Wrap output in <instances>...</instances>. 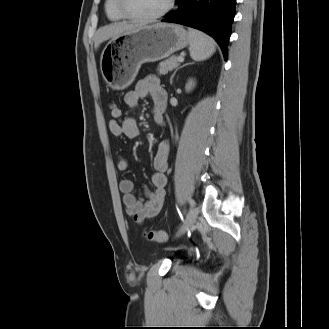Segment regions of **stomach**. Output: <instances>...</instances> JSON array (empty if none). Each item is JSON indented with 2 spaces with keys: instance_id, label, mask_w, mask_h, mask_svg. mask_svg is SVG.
<instances>
[{
  "instance_id": "1",
  "label": "stomach",
  "mask_w": 329,
  "mask_h": 329,
  "mask_svg": "<svg viewBox=\"0 0 329 329\" xmlns=\"http://www.w3.org/2000/svg\"><path fill=\"white\" fill-rule=\"evenodd\" d=\"M188 43L187 31L170 23L142 26L117 35L111 38L102 51V76L112 89H125L134 81L143 63L167 58Z\"/></svg>"
}]
</instances>
